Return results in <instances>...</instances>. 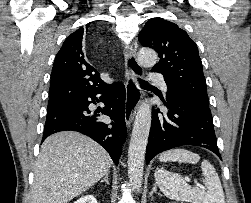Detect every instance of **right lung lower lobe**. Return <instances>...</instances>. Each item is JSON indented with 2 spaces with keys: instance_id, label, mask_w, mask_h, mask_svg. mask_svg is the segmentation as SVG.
Masks as SVG:
<instances>
[{
  "instance_id": "obj_1",
  "label": "right lung lower lobe",
  "mask_w": 251,
  "mask_h": 203,
  "mask_svg": "<svg viewBox=\"0 0 251 203\" xmlns=\"http://www.w3.org/2000/svg\"><path fill=\"white\" fill-rule=\"evenodd\" d=\"M101 94L105 107L92 112L88 106L98 102ZM125 87L121 82L90 89L77 99L47 111L42 142L51 134L60 131H77L91 137L103 146L117 165L122 144L127 131L124 119ZM100 116L108 117L111 123H105Z\"/></svg>"
}]
</instances>
